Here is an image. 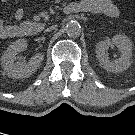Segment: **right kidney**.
<instances>
[{
    "mask_svg": "<svg viewBox=\"0 0 135 135\" xmlns=\"http://www.w3.org/2000/svg\"><path fill=\"white\" fill-rule=\"evenodd\" d=\"M27 48V41L19 39L13 42L4 52L1 62L4 71L13 78H26L33 74L43 61L44 55L36 53L28 63L15 62L16 55Z\"/></svg>",
    "mask_w": 135,
    "mask_h": 135,
    "instance_id": "right-kidney-1",
    "label": "right kidney"
}]
</instances>
